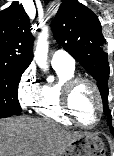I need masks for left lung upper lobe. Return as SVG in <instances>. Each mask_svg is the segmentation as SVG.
Segmentation results:
<instances>
[{"label": "left lung upper lobe", "mask_w": 114, "mask_h": 156, "mask_svg": "<svg viewBox=\"0 0 114 156\" xmlns=\"http://www.w3.org/2000/svg\"><path fill=\"white\" fill-rule=\"evenodd\" d=\"M52 27L57 42L96 79L112 131L108 108L109 64L102 50L105 39L97 16L77 0H66L60 5Z\"/></svg>", "instance_id": "1"}]
</instances>
